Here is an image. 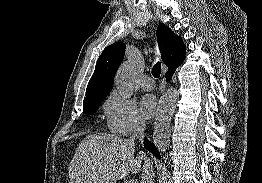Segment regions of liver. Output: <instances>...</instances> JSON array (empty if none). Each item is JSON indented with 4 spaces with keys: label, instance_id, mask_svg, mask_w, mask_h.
Wrapping results in <instances>:
<instances>
[{
    "label": "liver",
    "instance_id": "6515ba94",
    "mask_svg": "<svg viewBox=\"0 0 262 183\" xmlns=\"http://www.w3.org/2000/svg\"><path fill=\"white\" fill-rule=\"evenodd\" d=\"M113 134L94 133L80 141L69 166L70 183H115L141 169L142 152Z\"/></svg>",
    "mask_w": 262,
    "mask_h": 183
}]
</instances>
